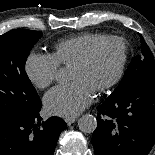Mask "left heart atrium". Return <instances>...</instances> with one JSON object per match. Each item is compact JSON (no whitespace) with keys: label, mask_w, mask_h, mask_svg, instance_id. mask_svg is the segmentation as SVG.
<instances>
[{"label":"left heart atrium","mask_w":155,"mask_h":155,"mask_svg":"<svg viewBox=\"0 0 155 155\" xmlns=\"http://www.w3.org/2000/svg\"><path fill=\"white\" fill-rule=\"evenodd\" d=\"M94 93L84 82L76 80L50 90L44 97V106L49 114L74 117L92 102Z\"/></svg>","instance_id":"left-heart-atrium-1"}]
</instances>
